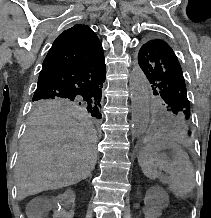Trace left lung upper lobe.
Segmentation results:
<instances>
[{"label": "left lung upper lobe", "mask_w": 211, "mask_h": 218, "mask_svg": "<svg viewBox=\"0 0 211 218\" xmlns=\"http://www.w3.org/2000/svg\"><path fill=\"white\" fill-rule=\"evenodd\" d=\"M138 63L159 99L153 108L155 115L176 134L189 140L192 135L190 103L175 53L165 41L150 40L141 47Z\"/></svg>", "instance_id": "1"}]
</instances>
